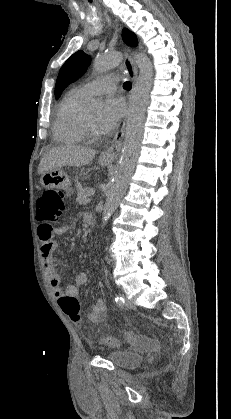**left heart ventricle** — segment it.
Masks as SVG:
<instances>
[{"label":"left heart ventricle","instance_id":"obj_1","mask_svg":"<svg viewBox=\"0 0 231 419\" xmlns=\"http://www.w3.org/2000/svg\"><path fill=\"white\" fill-rule=\"evenodd\" d=\"M86 114H87V118H88V121H89L92 129L97 133H101L99 128H98V123H97L99 113L96 112V111H90V112H86Z\"/></svg>","mask_w":231,"mask_h":419}]
</instances>
